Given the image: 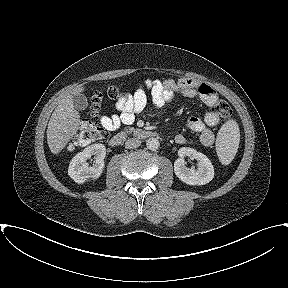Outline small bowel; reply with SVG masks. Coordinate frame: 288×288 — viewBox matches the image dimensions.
I'll list each match as a JSON object with an SVG mask.
<instances>
[{"instance_id": "1", "label": "small bowel", "mask_w": 288, "mask_h": 288, "mask_svg": "<svg viewBox=\"0 0 288 288\" xmlns=\"http://www.w3.org/2000/svg\"><path fill=\"white\" fill-rule=\"evenodd\" d=\"M176 94L184 97H198L208 107L203 118L189 116L187 126L199 134V140L204 146H211L214 142L213 127L220 122V116L215 110L218 96L207 84L191 78H180L178 80L146 79L139 85L133 94L126 95L116 102L117 113L110 117L104 116L101 119L103 126L110 130L118 129L122 124L130 125L135 117L140 114L149 101L155 107H163L173 101ZM176 143L184 145L188 139L183 134L175 137Z\"/></svg>"}]
</instances>
